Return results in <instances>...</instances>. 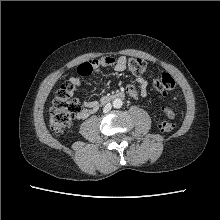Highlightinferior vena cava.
<instances>
[{
	"label": "inferior vena cava",
	"instance_id": "1",
	"mask_svg": "<svg viewBox=\"0 0 220 220\" xmlns=\"http://www.w3.org/2000/svg\"><path fill=\"white\" fill-rule=\"evenodd\" d=\"M111 108H112L111 103H107V104L105 105V107L103 108V112H104V113H107V112H109V111L111 110Z\"/></svg>",
	"mask_w": 220,
	"mask_h": 220
}]
</instances>
